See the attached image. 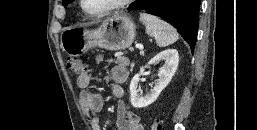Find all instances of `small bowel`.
I'll list each match as a JSON object with an SVG mask.
<instances>
[{"instance_id": "c3829d8e", "label": "small bowel", "mask_w": 257, "mask_h": 130, "mask_svg": "<svg viewBox=\"0 0 257 130\" xmlns=\"http://www.w3.org/2000/svg\"><path fill=\"white\" fill-rule=\"evenodd\" d=\"M129 61L126 57L115 59V65L111 70V93L121 99L124 96L123 84L129 77ZM90 84V75L87 71L77 77V85L81 89L79 98L84 111L89 115L93 130H103L97 114L102 110L104 100L101 94L90 92L87 88ZM116 130H145L141 118L136 113L127 110L124 102L120 100L117 105Z\"/></svg>"}]
</instances>
